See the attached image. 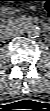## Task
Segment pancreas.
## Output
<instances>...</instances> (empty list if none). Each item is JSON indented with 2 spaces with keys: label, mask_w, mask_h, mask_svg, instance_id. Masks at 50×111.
Wrapping results in <instances>:
<instances>
[{
  "label": "pancreas",
  "mask_w": 50,
  "mask_h": 111,
  "mask_svg": "<svg viewBox=\"0 0 50 111\" xmlns=\"http://www.w3.org/2000/svg\"><path fill=\"white\" fill-rule=\"evenodd\" d=\"M4 24H5L4 27H12V26H14L16 24V20L9 19Z\"/></svg>",
  "instance_id": "obj_1"
}]
</instances>
